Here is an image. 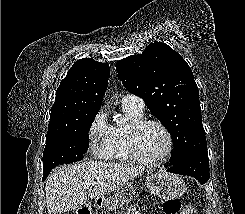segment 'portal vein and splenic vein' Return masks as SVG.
I'll list each match as a JSON object with an SVG mask.
<instances>
[{
	"label": "portal vein and splenic vein",
	"mask_w": 245,
	"mask_h": 214,
	"mask_svg": "<svg viewBox=\"0 0 245 214\" xmlns=\"http://www.w3.org/2000/svg\"><path fill=\"white\" fill-rule=\"evenodd\" d=\"M87 188L93 187V184H86Z\"/></svg>",
	"instance_id": "portal-vein-and-splenic-vein-1"
}]
</instances>
